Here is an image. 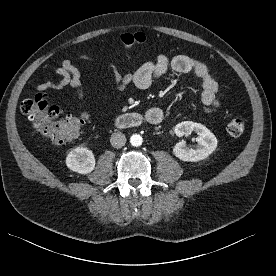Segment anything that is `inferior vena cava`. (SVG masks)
Here are the masks:
<instances>
[{
    "label": "inferior vena cava",
    "instance_id": "602c4592",
    "mask_svg": "<svg viewBox=\"0 0 276 276\" xmlns=\"http://www.w3.org/2000/svg\"><path fill=\"white\" fill-rule=\"evenodd\" d=\"M110 143L114 148H122L126 143V137L121 132H115L111 135Z\"/></svg>",
    "mask_w": 276,
    "mask_h": 276
}]
</instances>
